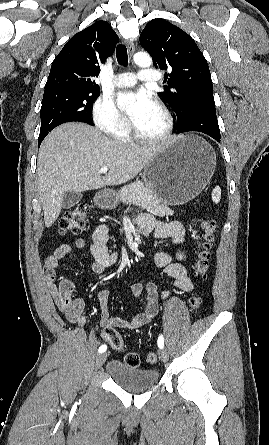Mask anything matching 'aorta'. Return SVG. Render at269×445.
Masks as SVG:
<instances>
[{
    "label": "aorta",
    "instance_id": "1",
    "mask_svg": "<svg viewBox=\"0 0 269 445\" xmlns=\"http://www.w3.org/2000/svg\"><path fill=\"white\" fill-rule=\"evenodd\" d=\"M133 60L135 64H137L140 67H150L152 64V59L150 55L147 53H136L133 57ZM133 102H134L133 96H122L118 98L117 105L121 110L127 111L130 109Z\"/></svg>",
    "mask_w": 269,
    "mask_h": 445
}]
</instances>
